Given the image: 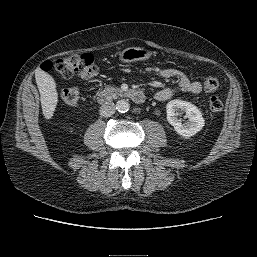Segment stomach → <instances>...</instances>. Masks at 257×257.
Instances as JSON below:
<instances>
[{
  "label": "stomach",
  "mask_w": 257,
  "mask_h": 257,
  "mask_svg": "<svg viewBox=\"0 0 257 257\" xmlns=\"http://www.w3.org/2000/svg\"><path fill=\"white\" fill-rule=\"evenodd\" d=\"M151 52L141 47H129L119 53V60L124 63H131L140 60H147Z\"/></svg>",
  "instance_id": "0dacf381"
}]
</instances>
